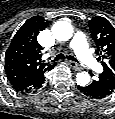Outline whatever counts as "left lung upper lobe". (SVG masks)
<instances>
[{
  "instance_id": "left-lung-upper-lobe-1",
  "label": "left lung upper lobe",
  "mask_w": 115,
  "mask_h": 119,
  "mask_svg": "<svg viewBox=\"0 0 115 119\" xmlns=\"http://www.w3.org/2000/svg\"><path fill=\"white\" fill-rule=\"evenodd\" d=\"M89 27L97 48L101 50L103 73L115 80V29L100 16L93 17Z\"/></svg>"
}]
</instances>
